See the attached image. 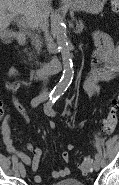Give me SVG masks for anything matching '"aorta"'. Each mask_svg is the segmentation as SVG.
<instances>
[{
  "label": "aorta",
  "mask_w": 119,
  "mask_h": 185,
  "mask_svg": "<svg viewBox=\"0 0 119 185\" xmlns=\"http://www.w3.org/2000/svg\"><path fill=\"white\" fill-rule=\"evenodd\" d=\"M52 33L56 38L58 51L61 53L63 63V75L59 83L54 87L53 95L62 94L70 85L74 75L71 48L68 43L67 29L64 23V17L56 11L52 18Z\"/></svg>",
  "instance_id": "aorta-1"
}]
</instances>
